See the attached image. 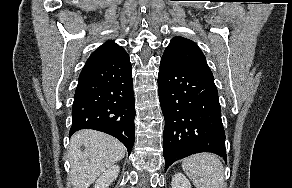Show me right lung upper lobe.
<instances>
[{
	"instance_id": "1",
	"label": "right lung upper lobe",
	"mask_w": 292,
	"mask_h": 188,
	"mask_svg": "<svg viewBox=\"0 0 292 188\" xmlns=\"http://www.w3.org/2000/svg\"><path fill=\"white\" fill-rule=\"evenodd\" d=\"M126 51L112 40L99 46L88 58V60L114 59L126 55Z\"/></svg>"
}]
</instances>
